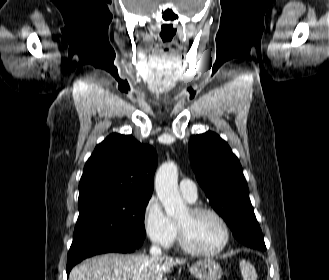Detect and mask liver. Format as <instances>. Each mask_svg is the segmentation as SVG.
<instances>
[{
	"label": "liver",
	"instance_id": "obj_1",
	"mask_svg": "<svg viewBox=\"0 0 329 280\" xmlns=\"http://www.w3.org/2000/svg\"><path fill=\"white\" fill-rule=\"evenodd\" d=\"M185 262L168 256L105 254L74 267L69 280H166L165 274Z\"/></svg>",
	"mask_w": 329,
	"mask_h": 280
}]
</instances>
